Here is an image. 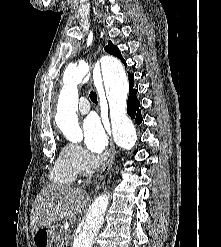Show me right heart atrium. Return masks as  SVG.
Wrapping results in <instances>:
<instances>
[{
  "label": "right heart atrium",
  "mask_w": 221,
  "mask_h": 247,
  "mask_svg": "<svg viewBox=\"0 0 221 247\" xmlns=\"http://www.w3.org/2000/svg\"><path fill=\"white\" fill-rule=\"evenodd\" d=\"M66 146L69 153L70 162L77 175L88 172L91 168V160L84 149L80 145L73 143Z\"/></svg>",
  "instance_id": "d8ad5b80"
}]
</instances>
